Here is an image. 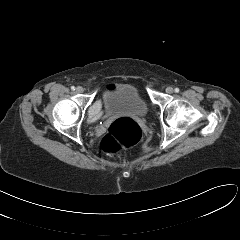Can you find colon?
Returning <instances> with one entry per match:
<instances>
[{
	"label": "colon",
	"mask_w": 240,
	"mask_h": 240,
	"mask_svg": "<svg viewBox=\"0 0 240 240\" xmlns=\"http://www.w3.org/2000/svg\"><path fill=\"white\" fill-rule=\"evenodd\" d=\"M141 136L142 131L137 122L130 118H119L110 124L99 141V147L104 153H114L134 146Z\"/></svg>",
	"instance_id": "obj_1"
}]
</instances>
